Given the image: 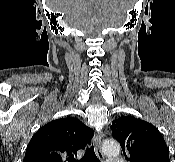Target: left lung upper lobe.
Listing matches in <instances>:
<instances>
[{
	"label": "left lung upper lobe",
	"mask_w": 175,
	"mask_h": 162,
	"mask_svg": "<svg viewBox=\"0 0 175 162\" xmlns=\"http://www.w3.org/2000/svg\"><path fill=\"white\" fill-rule=\"evenodd\" d=\"M112 136L120 143L130 162H170L169 149L158 129L133 116H121L111 126Z\"/></svg>",
	"instance_id": "obj_1"
}]
</instances>
